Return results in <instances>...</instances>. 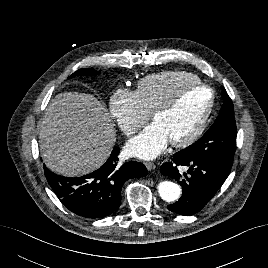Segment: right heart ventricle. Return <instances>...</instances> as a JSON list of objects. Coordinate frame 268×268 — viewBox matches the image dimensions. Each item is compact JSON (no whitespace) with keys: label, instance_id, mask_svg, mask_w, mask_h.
I'll use <instances>...</instances> for the list:
<instances>
[{"label":"right heart ventricle","instance_id":"1","mask_svg":"<svg viewBox=\"0 0 268 268\" xmlns=\"http://www.w3.org/2000/svg\"><path fill=\"white\" fill-rule=\"evenodd\" d=\"M198 81L199 77L191 72L165 70L141 78L137 84V92L145 108L153 112L166 102L179 86Z\"/></svg>","mask_w":268,"mask_h":268}]
</instances>
